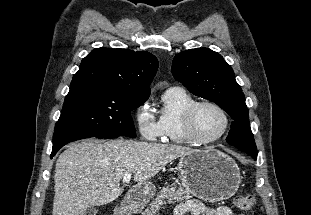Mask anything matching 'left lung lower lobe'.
Returning a JSON list of instances; mask_svg holds the SVG:
<instances>
[{
	"instance_id": "0a47b994",
	"label": "left lung lower lobe",
	"mask_w": 311,
	"mask_h": 215,
	"mask_svg": "<svg viewBox=\"0 0 311 215\" xmlns=\"http://www.w3.org/2000/svg\"><path fill=\"white\" fill-rule=\"evenodd\" d=\"M251 157H253L255 160L257 159L256 155H250Z\"/></svg>"
}]
</instances>
